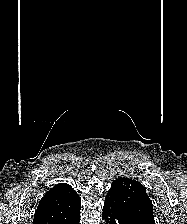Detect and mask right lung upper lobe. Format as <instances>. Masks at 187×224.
Returning a JSON list of instances; mask_svg holds the SVG:
<instances>
[{
  "instance_id": "1",
  "label": "right lung upper lobe",
  "mask_w": 187,
  "mask_h": 224,
  "mask_svg": "<svg viewBox=\"0 0 187 224\" xmlns=\"http://www.w3.org/2000/svg\"><path fill=\"white\" fill-rule=\"evenodd\" d=\"M80 198L66 183L51 188L41 199L33 224H66L80 211Z\"/></svg>"
}]
</instances>
